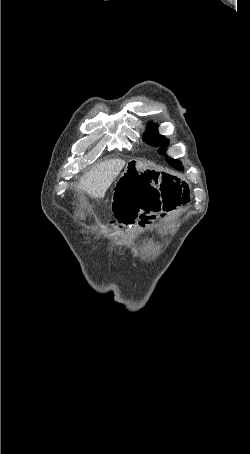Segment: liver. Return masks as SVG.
Returning <instances> with one entry per match:
<instances>
[{"label": "liver", "instance_id": "liver-1", "mask_svg": "<svg viewBox=\"0 0 250 454\" xmlns=\"http://www.w3.org/2000/svg\"><path fill=\"white\" fill-rule=\"evenodd\" d=\"M124 166L125 161L122 159L102 161L82 177L78 188L94 198H103Z\"/></svg>", "mask_w": 250, "mask_h": 454}]
</instances>
